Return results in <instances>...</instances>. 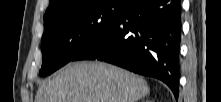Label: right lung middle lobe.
Instances as JSON below:
<instances>
[{
	"mask_svg": "<svg viewBox=\"0 0 221 102\" xmlns=\"http://www.w3.org/2000/svg\"><path fill=\"white\" fill-rule=\"evenodd\" d=\"M126 5L127 0H81L45 20L40 75L72 61L119 19Z\"/></svg>",
	"mask_w": 221,
	"mask_h": 102,
	"instance_id": "1",
	"label": "right lung middle lobe"
}]
</instances>
